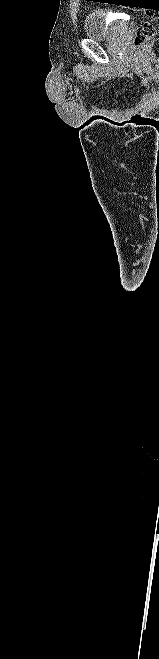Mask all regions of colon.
I'll return each instance as SVG.
<instances>
[{"instance_id": "1", "label": "colon", "mask_w": 159, "mask_h": 659, "mask_svg": "<svg viewBox=\"0 0 159 659\" xmlns=\"http://www.w3.org/2000/svg\"><path fill=\"white\" fill-rule=\"evenodd\" d=\"M156 35L155 26L149 21L141 22L136 30L134 37V45L142 47L148 40Z\"/></svg>"}]
</instances>
